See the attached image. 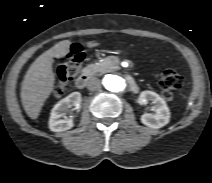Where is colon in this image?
Returning <instances> with one entry per match:
<instances>
[{"label": "colon", "instance_id": "obj_1", "mask_svg": "<svg viewBox=\"0 0 212 183\" xmlns=\"http://www.w3.org/2000/svg\"><path fill=\"white\" fill-rule=\"evenodd\" d=\"M84 60V54L78 45L71 48L65 61L59 63L55 69L56 81L53 88V94L56 97L61 96L70 82L78 73ZM183 84L182 76L175 70H165L160 78V86L162 87V97L166 101L173 99V90L178 89Z\"/></svg>", "mask_w": 212, "mask_h": 183}]
</instances>
